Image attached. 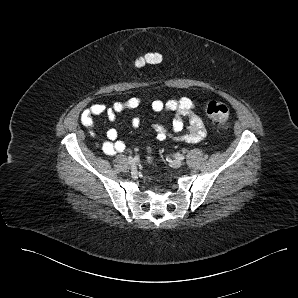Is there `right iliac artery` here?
Masks as SVG:
<instances>
[{"label": "right iliac artery", "mask_w": 298, "mask_h": 298, "mask_svg": "<svg viewBox=\"0 0 298 298\" xmlns=\"http://www.w3.org/2000/svg\"><path fill=\"white\" fill-rule=\"evenodd\" d=\"M135 161H139V156L134 157Z\"/></svg>", "instance_id": "82829eb1"}]
</instances>
